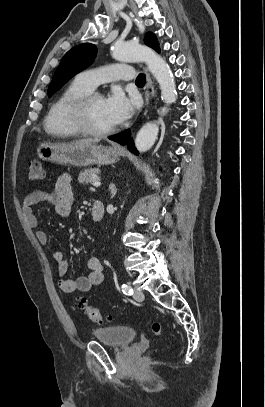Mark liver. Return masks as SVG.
Wrapping results in <instances>:
<instances>
[{"mask_svg":"<svg viewBox=\"0 0 265 407\" xmlns=\"http://www.w3.org/2000/svg\"><path fill=\"white\" fill-rule=\"evenodd\" d=\"M96 142H98L97 139H82V140L76 141L75 143H77V144H91V143H96Z\"/></svg>","mask_w":265,"mask_h":407,"instance_id":"obj_1","label":"liver"}]
</instances>
